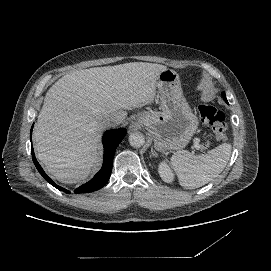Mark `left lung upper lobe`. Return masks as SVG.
Wrapping results in <instances>:
<instances>
[{"label":"left lung upper lobe","instance_id":"5c2ea615","mask_svg":"<svg viewBox=\"0 0 271 271\" xmlns=\"http://www.w3.org/2000/svg\"><path fill=\"white\" fill-rule=\"evenodd\" d=\"M222 96H223L224 100L227 102V99H226V96H225V93H224V92H222ZM227 103H228V102H227Z\"/></svg>","mask_w":271,"mask_h":271}]
</instances>
